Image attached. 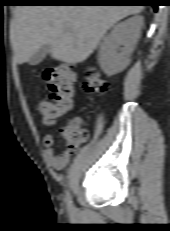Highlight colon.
I'll use <instances>...</instances> for the list:
<instances>
[{"label":"colon","mask_w":170,"mask_h":231,"mask_svg":"<svg viewBox=\"0 0 170 231\" xmlns=\"http://www.w3.org/2000/svg\"><path fill=\"white\" fill-rule=\"evenodd\" d=\"M83 91L89 95H105L109 90L108 83L94 66L84 70ZM49 88V99L38 103L37 109L45 124L55 123L68 112L73 105L75 93V74L70 65H58L45 71ZM63 137L68 149H76L88 138V132L80 125H69L63 129Z\"/></svg>","instance_id":"1"}]
</instances>
